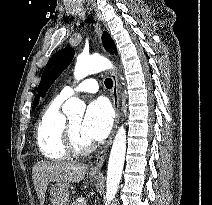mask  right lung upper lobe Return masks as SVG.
<instances>
[{"label":"right lung upper lobe","mask_w":212,"mask_h":205,"mask_svg":"<svg viewBox=\"0 0 212 205\" xmlns=\"http://www.w3.org/2000/svg\"><path fill=\"white\" fill-rule=\"evenodd\" d=\"M38 101H39V96L37 95L34 99L33 107H35L38 104Z\"/></svg>","instance_id":"right-lung-upper-lobe-1"}]
</instances>
